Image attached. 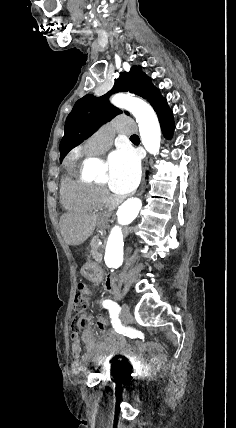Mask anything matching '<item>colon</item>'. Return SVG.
<instances>
[{
  "mask_svg": "<svg viewBox=\"0 0 236 428\" xmlns=\"http://www.w3.org/2000/svg\"><path fill=\"white\" fill-rule=\"evenodd\" d=\"M90 294V289L88 285L85 283H80L78 286V292L75 296L74 301V311L76 313V317L72 323V333L79 334L83 328L84 320L82 317V313L85 311L88 305V298ZM106 319L102 316L97 317L96 324L100 327H104L106 325Z\"/></svg>",
  "mask_w": 236,
  "mask_h": 428,
  "instance_id": "1",
  "label": "colon"
}]
</instances>
